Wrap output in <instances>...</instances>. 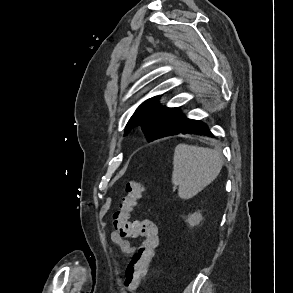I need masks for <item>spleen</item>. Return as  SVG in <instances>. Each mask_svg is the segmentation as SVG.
Here are the masks:
<instances>
[{
	"mask_svg": "<svg viewBox=\"0 0 293 293\" xmlns=\"http://www.w3.org/2000/svg\"><path fill=\"white\" fill-rule=\"evenodd\" d=\"M223 166L222 154L214 149L178 144L173 156L172 183L178 195L190 199L212 183Z\"/></svg>",
	"mask_w": 293,
	"mask_h": 293,
	"instance_id": "3e777b00",
	"label": "spleen"
}]
</instances>
